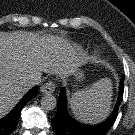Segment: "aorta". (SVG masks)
Here are the masks:
<instances>
[{
  "label": "aorta",
  "mask_w": 135,
  "mask_h": 135,
  "mask_svg": "<svg viewBox=\"0 0 135 135\" xmlns=\"http://www.w3.org/2000/svg\"><path fill=\"white\" fill-rule=\"evenodd\" d=\"M57 105V100L52 94H45L41 98V107L45 110H53Z\"/></svg>",
  "instance_id": "aorta-1"
}]
</instances>
